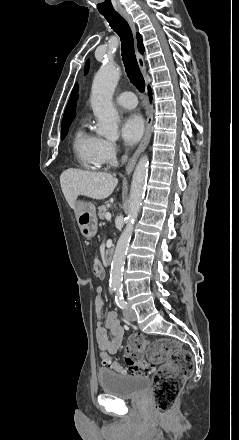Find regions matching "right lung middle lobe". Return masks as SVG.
<instances>
[{"mask_svg": "<svg viewBox=\"0 0 239 440\" xmlns=\"http://www.w3.org/2000/svg\"><path fill=\"white\" fill-rule=\"evenodd\" d=\"M70 124H71V123H70ZM70 124H68V125H66V126H64V127L61 128V138H62V139H64V137L66 136Z\"/></svg>", "mask_w": 239, "mask_h": 440, "instance_id": "obj_1", "label": "right lung middle lobe"}]
</instances>
